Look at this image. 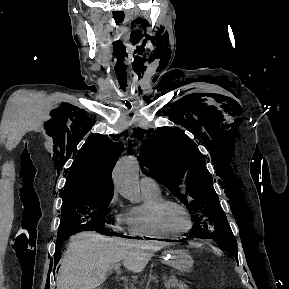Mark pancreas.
Here are the masks:
<instances>
[{"label": "pancreas", "instance_id": "cf45deb5", "mask_svg": "<svg viewBox=\"0 0 289 289\" xmlns=\"http://www.w3.org/2000/svg\"><path fill=\"white\" fill-rule=\"evenodd\" d=\"M163 279L165 284L174 287V289H188L187 285L183 282L178 281L175 276H171L170 278L164 277Z\"/></svg>", "mask_w": 289, "mask_h": 289}]
</instances>
